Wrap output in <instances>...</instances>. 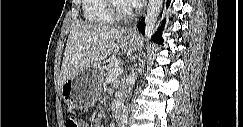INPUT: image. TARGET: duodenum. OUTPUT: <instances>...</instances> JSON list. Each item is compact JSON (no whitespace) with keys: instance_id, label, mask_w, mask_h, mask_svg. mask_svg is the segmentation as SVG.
<instances>
[{"instance_id":"1","label":"duodenum","mask_w":243,"mask_h":127,"mask_svg":"<svg viewBox=\"0 0 243 127\" xmlns=\"http://www.w3.org/2000/svg\"><path fill=\"white\" fill-rule=\"evenodd\" d=\"M122 107H123V103L121 100H119L114 108V112H115V118L116 120H119L121 112H122Z\"/></svg>"}]
</instances>
